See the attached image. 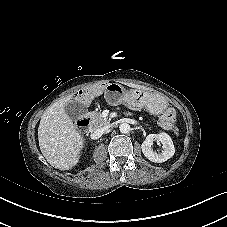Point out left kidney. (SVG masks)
Returning <instances> with one entry per match:
<instances>
[{
	"label": "left kidney",
	"mask_w": 227,
	"mask_h": 227,
	"mask_svg": "<svg viewBox=\"0 0 227 227\" xmlns=\"http://www.w3.org/2000/svg\"><path fill=\"white\" fill-rule=\"evenodd\" d=\"M158 140L162 144L161 152H154L152 149L153 141ZM142 152L146 158L152 162L162 163L170 159L174 153L175 148L171 137L166 133L149 134L141 145Z\"/></svg>",
	"instance_id": "5707ae66"
}]
</instances>
